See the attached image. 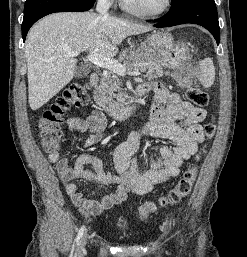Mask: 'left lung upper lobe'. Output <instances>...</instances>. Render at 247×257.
Instances as JSON below:
<instances>
[{"mask_svg": "<svg viewBox=\"0 0 247 257\" xmlns=\"http://www.w3.org/2000/svg\"><path fill=\"white\" fill-rule=\"evenodd\" d=\"M172 1V3H175V2H178V1H180V0H171Z\"/></svg>", "mask_w": 247, "mask_h": 257, "instance_id": "1", "label": "left lung upper lobe"}]
</instances>
